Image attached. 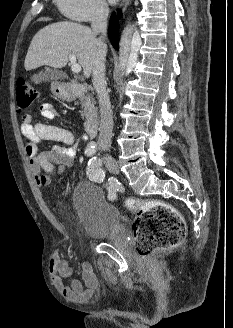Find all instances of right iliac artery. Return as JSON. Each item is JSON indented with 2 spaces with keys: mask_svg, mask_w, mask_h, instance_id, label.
<instances>
[{
  "mask_svg": "<svg viewBox=\"0 0 233 328\" xmlns=\"http://www.w3.org/2000/svg\"><path fill=\"white\" fill-rule=\"evenodd\" d=\"M87 156H93L96 153V144L90 143L85 151ZM119 185L117 180L109 179V182L106 185L108 191V198L110 200H115L117 198V191L119 190Z\"/></svg>",
  "mask_w": 233,
  "mask_h": 328,
  "instance_id": "1",
  "label": "right iliac artery"
}]
</instances>
